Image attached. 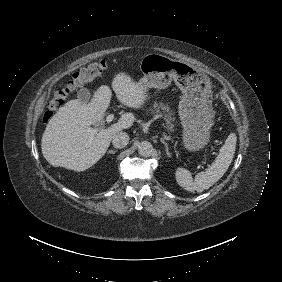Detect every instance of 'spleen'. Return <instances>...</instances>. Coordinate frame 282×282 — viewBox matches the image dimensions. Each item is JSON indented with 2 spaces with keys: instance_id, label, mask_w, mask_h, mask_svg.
<instances>
[{
  "instance_id": "obj_1",
  "label": "spleen",
  "mask_w": 282,
  "mask_h": 282,
  "mask_svg": "<svg viewBox=\"0 0 282 282\" xmlns=\"http://www.w3.org/2000/svg\"><path fill=\"white\" fill-rule=\"evenodd\" d=\"M237 137L235 133H230L225 140V144L220 148L219 155L206 171L196 174L193 180L191 172L187 169L177 170L178 182L187 190L202 192L218 181L229 168L235 153Z\"/></svg>"
}]
</instances>
